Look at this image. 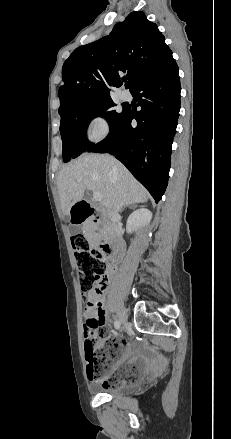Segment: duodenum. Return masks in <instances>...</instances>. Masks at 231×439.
<instances>
[{"mask_svg": "<svg viewBox=\"0 0 231 439\" xmlns=\"http://www.w3.org/2000/svg\"><path fill=\"white\" fill-rule=\"evenodd\" d=\"M77 212L74 215V223H81L90 220L92 223H97L99 221L98 205L94 203H88L81 201L76 206ZM100 249L109 256L110 262H113L112 251L114 246L107 239L101 240L98 243Z\"/></svg>", "mask_w": 231, "mask_h": 439, "instance_id": "duodenum-1", "label": "duodenum"}]
</instances>
